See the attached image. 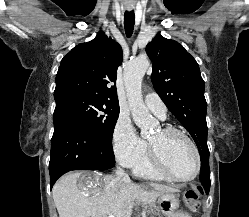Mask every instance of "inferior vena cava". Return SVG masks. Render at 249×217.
Returning a JSON list of instances; mask_svg holds the SVG:
<instances>
[{"label": "inferior vena cava", "instance_id": "602c4592", "mask_svg": "<svg viewBox=\"0 0 249 217\" xmlns=\"http://www.w3.org/2000/svg\"><path fill=\"white\" fill-rule=\"evenodd\" d=\"M115 174H116L117 179H121L122 178L124 180H130L129 176L120 167H118L116 169Z\"/></svg>", "mask_w": 249, "mask_h": 217}]
</instances>
